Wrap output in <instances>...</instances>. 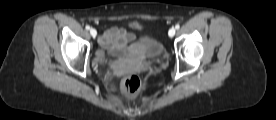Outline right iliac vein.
I'll return each instance as SVG.
<instances>
[{
    "label": "right iliac vein",
    "mask_w": 276,
    "mask_h": 120,
    "mask_svg": "<svg viewBox=\"0 0 276 120\" xmlns=\"http://www.w3.org/2000/svg\"><path fill=\"white\" fill-rule=\"evenodd\" d=\"M90 34H91L93 37H96L97 31H96L94 28H91V29H90Z\"/></svg>",
    "instance_id": "right-iliac-vein-1"
}]
</instances>
